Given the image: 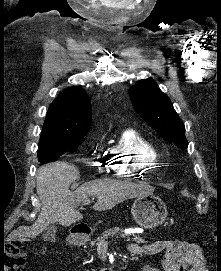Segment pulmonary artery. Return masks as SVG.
Masks as SVG:
<instances>
[{"label":"pulmonary artery","mask_w":221,"mask_h":271,"mask_svg":"<svg viewBox=\"0 0 221 271\" xmlns=\"http://www.w3.org/2000/svg\"><path fill=\"white\" fill-rule=\"evenodd\" d=\"M127 133H123V138H139L136 128H127Z\"/></svg>","instance_id":"pulmonary-artery-1"}]
</instances>
